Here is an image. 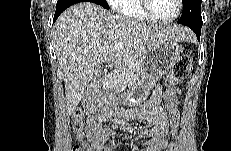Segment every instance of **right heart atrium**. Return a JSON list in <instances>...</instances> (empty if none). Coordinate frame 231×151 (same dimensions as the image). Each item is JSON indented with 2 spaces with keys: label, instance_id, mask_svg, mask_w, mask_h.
Segmentation results:
<instances>
[{
  "label": "right heart atrium",
  "instance_id": "d8ad5b80",
  "mask_svg": "<svg viewBox=\"0 0 231 151\" xmlns=\"http://www.w3.org/2000/svg\"><path fill=\"white\" fill-rule=\"evenodd\" d=\"M108 2L114 9H117V7L121 1L120 0H109Z\"/></svg>",
  "mask_w": 231,
  "mask_h": 151
}]
</instances>
